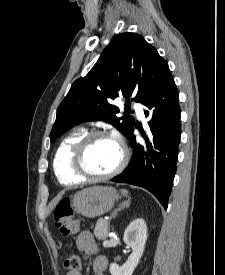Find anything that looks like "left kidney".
Listing matches in <instances>:
<instances>
[{
    "label": "left kidney",
    "mask_w": 225,
    "mask_h": 275,
    "mask_svg": "<svg viewBox=\"0 0 225 275\" xmlns=\"http://www.w3.org/2000/svg\"><path fill=\"white\" fill-rule=\"evenodd\" d=\"M123 240L132 249L127 261L119 266L116 263L110 264L111 275H132L137 267L147 240V225L143 219L132 221L126 228Z\"/></svg>",
    "instance_id": "left-kidney-1"
}]
</instances>
